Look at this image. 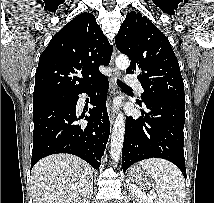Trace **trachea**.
I'll list each match as a JSON object with an SVG mask.
<instances>
[{
	"mask_svg": "<svg viewBox=\"0 0 214 203\" xmlns=\"http://www.w3.org/2000/svg\"><path fill=\"white\" fill-rule=\"evenodd\" d=\"M117 84L118 86L122 87V88H126V89H131L130 87H128L125 83L121 82L120 80L117 79Z\"/></svg>",
	"mask_w": 214,
	"mask_h": 203,
	"instance_id": "3493384b",
	"label": "trachea"
}]
</instances>
